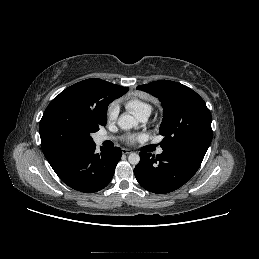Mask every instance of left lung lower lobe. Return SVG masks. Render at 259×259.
Listing matches in <instances>:
<instances>
[{"mask_svg": "<svg viewBox=\"0 0 259 259\" xmlns=\"http://www.w3.org/2000/svg\"><path fill=\"white\" fill-rule=\"evenodd\" d=\"M203 158V155L192 151L163 150L156 156L140 152V162L134 174L146 190L157 194L169 193L193 177Z\"/></svg>", "mask_w": 259, "mask_h": 259, "instance_id": "obj_1", "label": "left lung lower lobe"}]
</instances>
